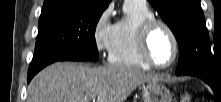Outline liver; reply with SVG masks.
I'll return each instance as SVG.
<instances>
[{
  "label": "liver",
  "mask_w": 221,
  "mask_h": 102,
  "mask_svg": "<svg viewBox=\"0 0 221 102\" xmlns=\"http://www.w3.org/2000/svg\"><path fill=\"white\" fill-rule=\"evenodd\" d=\"M157 78L127 66L91 68L55 63L40 71L28 87L27 102H125L131 92Z\"/></svg>",
  "instance_id": "1"
}]
</instances>
